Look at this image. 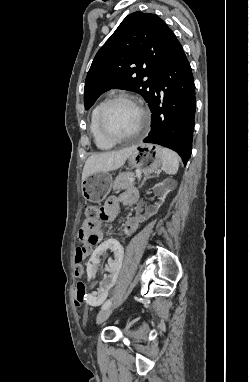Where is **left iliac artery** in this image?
I'll list each match as a JSON object with an SVG mask.
<instances>
[{
	"instance_id": "44dca946",
	"label": "left iliac artery",
	"mask_w": 249,
	"mask_h": 382,
	"mask_svg": "<svg viewBox=\"0 0 249 382\" xmlns=\"http://www.w3.org/2000/svg\"><path fill=\"white\" fill-rule=\"evenodd\" d=\"M111 302H112V299H108L102 306V309H107L110 307L111 305Z\"/></svg>"
}]
</instances>
